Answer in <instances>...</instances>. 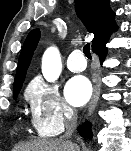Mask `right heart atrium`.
Here are the masks:
<instances>
[{"label":"right heart atrium","mask_w":131,"mask_h":151,"mask_svg":"<svg viewBox=\"0 0 131 151\" xmlns=\"http://www.w3.org/2000/svg\"><path fill=\"white\" fill-rule=\"evenodd\" d=\"M26 96L31 107L33 126L41 136L60 134L74 118L73 109L54 84L36 78L28 86Z\"/></svg>","instance_id":"1"}]
</instances>
